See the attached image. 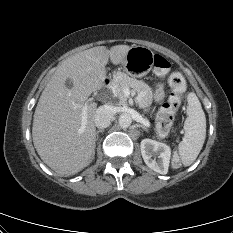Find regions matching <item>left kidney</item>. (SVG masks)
Masks as SVG:
<instances>
[{
	"mask_svg": "<svg viewBox=\"0 0 233 233\" xmlns=\"http://www.w3.org/2000/svg\"><path fill=\"white\" fill-rule=\"evenodd\" d=\"M140 149L144 162L150 169L159 174H167L171 157L168 145L152 139H143Z\"/></svg>",
	"mask_w": 233,
	"mask_h": 233,
	"instance_id": "1",
	"label": "left kidney"
}]
</instances>
